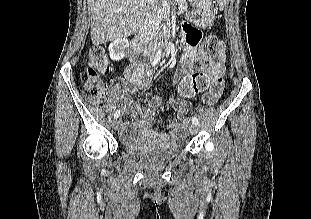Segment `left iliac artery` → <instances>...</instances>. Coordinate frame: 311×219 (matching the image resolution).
I'll return each instance as SVG.
<instances>
[{"instance_id": "left-iliac-artery-1", "label": "left iliac artery", "mask_w": 311, "mask_h": 219, "mask_svg": "<svg viewBox=\"0 0 311 219\" xmlns=\"http://www.w3.org/2000/svg\"><path fill=\"white\" fill-rule=\"evenodd\" d=\"M192 122H193V124H195V125H198V124H199V121H198L197 117H195V116L192 117Z\"/></svg>"}]
</instances>
